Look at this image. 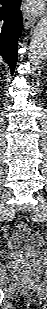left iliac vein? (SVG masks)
<instances>
[{"mask_svg": "<svg viewBox=\"0 0 47 309\" xmlns=\"http://www.w3.org/2000/svg\"><path fill=\"white\" fill-rule=\"evenodd\" d=\"M36 197L39 201V204L33 208V211L37 217H42L45 213V199L41 195H37Z\"/></svg>", "mask_w": 47, "mask_h": 309, "instance_id": "4c4485c4", "label": "left iliac vein"}]
</instances>
